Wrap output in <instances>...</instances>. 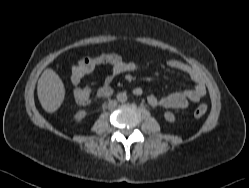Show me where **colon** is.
Listing matches in <instances>:
<instances>
[{
	"mask_svg": "<svg viewBox=\"0 0 249 188\" xmlns=\"http://www.w3.org/2000/svg\"><path fill=\"white\" fill-rule=\"evenodd\" d=\"M118 58L115 54H103L95 58L84 57L79 60L71 70V80L75 85H78L81 79L87 74L91 73L99 64H106L116 61ZM75 102L84 106L87 105L91 98V90L88 87H76L73 92ZM207 111L206 104H200L196 107L194 115L202 117Z\"/></svg>",
	"mask_w": 249,
	"mask_h": 188,
	"instance_id": "5ec220e1",
	"label": "colon"
}]
</instances>
